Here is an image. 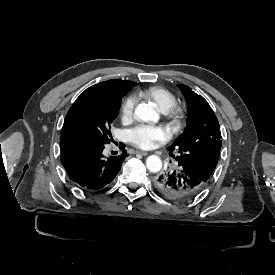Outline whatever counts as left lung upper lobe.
Here are the masks:
<instances>
[{"instance_id": "1", "label": "left lung upper lobe", "mask_w": 275, "mask_h": 275, "mask_svg": "<svg viewBox=\"0 0 275 275\" xmlns=\"http://www.w3.org/2000/svg\"><path fill=\"white\" fill-rule=\"evenodd\" d=\"M188 108L184 132L167 149L179 166L207 182L217 165L221 132L216 115L208 102L186 85H179Z\"/></svg>"}]
</instances>
